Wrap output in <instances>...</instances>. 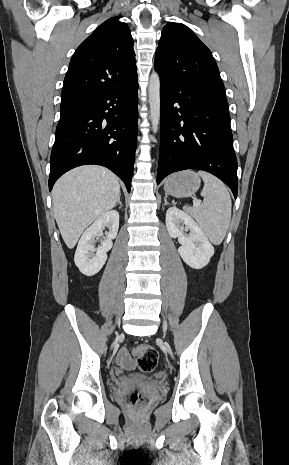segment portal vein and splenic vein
I'll return each instance as SVG.
<instances>
[{
  "instance_id": "1",
  "label": "portal vein and splenic vein",
  "mask_w": 289,
  "mask_h": 465,
  "mask_svg": "<svg viewBox=\"0 0 289 465\" xmlns=\"http://www.w3.org/2000/svg\"><path fill=\"white\" fill-rule=\"evenodd\" d=\"M199 204H200V202L198 200L194 201V206H198Z\"/></svg>"
}]
</instances>
